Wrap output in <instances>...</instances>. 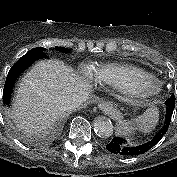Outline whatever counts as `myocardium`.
Here are the masks:
<instances>
[{"label":"myocardium","mask_w":177,"mask_h":177,"mask_svg":"<svg viewBox=\"0 0 177 177\" xmlns=\"http://www.w3.org/2000/svg\"><path fill=\"white\" fill-rule=\"evenodd\" d=\"M136 79L143 80L147 85H135ZM148 84H152V87H148ZM121 89L127 99L140 101L157 95L161 91V83L151 75H128L124 78Z\"/></svg>","instance_id":"1"}]
</instances>
